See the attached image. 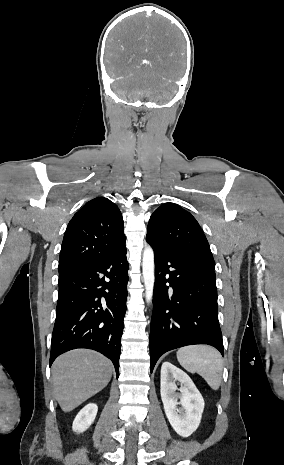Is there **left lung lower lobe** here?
<instances>
[{"label":"left lung lower lobe","mask_w":284,"mask_h":465,"mask_svg":"<svg viewBox=\"0 0 284 465\" xmlns=\"http://www.w3.org/2000/svg\"><path fill=\"white\" fill-rule=\"evenodd\" d=\"M155 285L150 329V369L167 351L208 344L222 355L214 269L155 246Z\"/></svg>","instance_id":"1"}]
</instances>
